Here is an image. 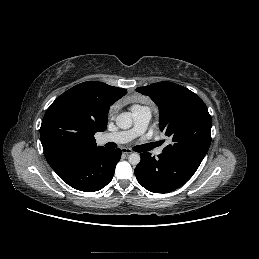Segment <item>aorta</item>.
I'll use <instances>...</instances> for the list:
<instances>
[{"mask_svg": "<svg viewBox=\"0 0 259 259\" xmlns=\"http://www.w3.org/2000/svg\"><path fill=\"white\" fill-rule=\"evenodd\" d=\"M132 122V116L129 112H123L116 118V125L121 129H129L132 126ZM128 161L131 165H137L140 162V155L132 153L129 155Z\"/></svg>", "mask_w": 259, "mask_h": 259, "instance_id": "obj_1", "label": "aorta"}]
</instances>
